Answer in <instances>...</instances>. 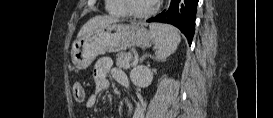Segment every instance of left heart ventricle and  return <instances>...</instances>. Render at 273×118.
<instances>
[{
	"mask_svg": "<svg viewBox=\"0 0 273 118\" xmlns=\"http://www.w3.org/2000/svg\"><path fill=\"white\" fill-rule=\"evenodd\" d=\"M152 3V0H131V7L137 12H144L151 7Z\"/></svg>",
	"mask_w": 273,
	"mask_h": 118,
	"instance_id": "b2bd125f",
	"label": "left heart ventricle"
}]
</instances>
